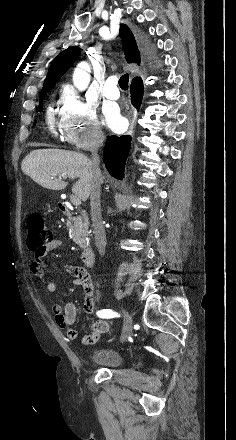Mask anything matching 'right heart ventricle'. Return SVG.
<instances>
[{"instance_id":"right-heart-ventricle-1","label":"right heart ventricle","mask_w":236,"mask_h":440,"mask_svg":"<svg viewBox=\"0 0 236 440\" xmlns=\"http://www.w3.org/2000/svg\"><path fill=\"white\" fill-rule=\"evenodd\" d=\"M46 123L48 125L49 130L53 133L55 129V119L54 114L51 108L47 110L46 113Z\"/></svg>"}]
</instances>
